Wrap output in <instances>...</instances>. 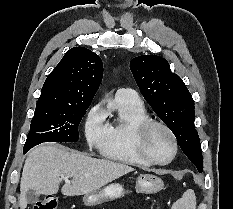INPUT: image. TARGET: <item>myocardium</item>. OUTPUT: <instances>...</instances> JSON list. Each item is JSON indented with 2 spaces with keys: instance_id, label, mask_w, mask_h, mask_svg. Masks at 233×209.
Segmentation results:
<instances>
[{
  "instance_id": "f54148a6",
  "label": "myocardium",
  "mask_w": 233,
  "mask_h": 209,
  "mask_svg": "<svg viewBox=\"0 0 233 209\" xmlns=\"http://www.w3.org/2000/svg\"><path fill=\"white\" fill-rule=\"evenodd\" d=\"M154 127H159L163 129L171 138L172 143H173V153L172 156L164 162L158 161L154 159L148 152L146 144H147V139L149 136V133L152 128ZM135 145L137 152L141 156L142 159L147 161L148 163L152 165H158V166H165L173 162V160L176 158L178 154V140L177 137L174 133V131L164 122L155 120L152 118H147L143 121H141L136 129H135Z\"/></svg>"
}]
</instances>
